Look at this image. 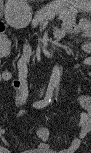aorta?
I'll return each instance as SVG.
<instances>
[{"label": "aorta", "instance_id": "aorta-1", "mask_svg": "<svg viewBox=\"0 0 91 153\" xmlns=\"http://www.w3.org/2000/svg\"><path fill=\"white\" fill-rule=\"evenodd\" d=\"M61 69L59 66H54L50 77V84L57 86L60 83Z\"/></svg>", "mask_w": 91, "mask_h": 153}]
</instances>
